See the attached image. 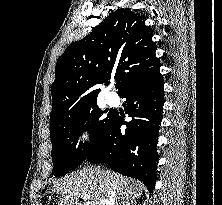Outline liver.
<instances>
[{
    "instance_id": "1",
    "label": "liver",
    "mask_w": 222,
    "mask_h": 205,
    "mask_svg": "<svg viewBox=\"0 0 222 205\" xmlns=\"http://www.w3.org/2000/svg\"><path fill=\"white\" fill-rule=\"evenodd\" d=\"M114 188L117 198L133 203L145 187L138 181L129 180L110 170L87 168L66 176L51 188L52 193L62 196L58 205H80V198L85 205H101L108 188ZM83 204V205H84Z\"/></svg>"
}]
</instances>
